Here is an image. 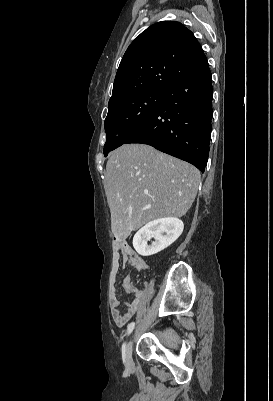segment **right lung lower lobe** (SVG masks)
Listing matches in <instances>:
<instances>
[{
    "label": "right lung lower lobe",
    "instance_id": "obj_1",
    "mask_svg": "<svg viewBox=\"0 0 273 401\" xmlns=\"http://www.w3.org/2000/svg\"><path fill=\"white\" fill-rule=\"evenodd\" d=\"M212 77L209 65L167 91L163 101L125 142L142 143L203 171L211 134Z\"/></svg>",
    "mask_w": 273,
    "mask_h": 401
}]
</instances>
